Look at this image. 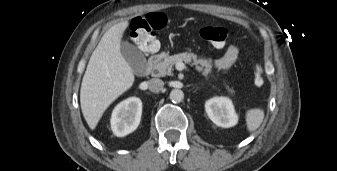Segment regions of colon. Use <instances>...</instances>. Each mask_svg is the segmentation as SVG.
I'll list each match as a JSON object with an SVG mask.
<instances>
[{"mask_svg": "<svg viewBox=\"0 0 337 171\" xmlns=\"http://www.w3.org/2000/svg\"><path fill=\"white\" fill-rule=\"evenodd\" d=\"M165 24V17L160 13H151L134 18L130 28L136 45L145 51L156 50V32L163 28ZM200 35L204 40L215 46H222L231 38V33L220 26H204L200 30ZM253 82L257 87L264 84V74L260 64H255L253 67Z\"/></svg>", "mask_w": 337, "mask_h": 171, "instance_id": "obj_1", "label": "colon"}]
</instances>
